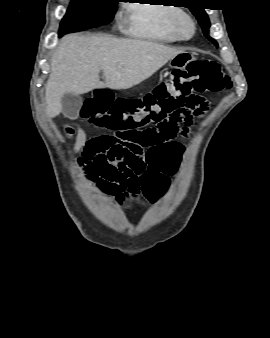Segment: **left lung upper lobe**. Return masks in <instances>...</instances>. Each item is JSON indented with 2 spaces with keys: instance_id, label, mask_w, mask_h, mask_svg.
<instances>
[{
  "instance_id": "1",
  "label": "left lung upper lobe",
  "mask_w": 270,
  "mask_h": 338,
  "mask_svg": "<svg viewBox=\"0 0 270 338\" xmlns=\"http://www.w3.org/2000/svg\"><path fill=\"white\" fill-rule=\"evenodd\" d=\"M194 2L193 6H190V10L192 11V13L196 16L199 24L202 26L203 32L205 34V36L214 44L218 47L217 42L212 39L211 37H209L208 33H209V27H210V22H209V18L206 14V12L204 11V8L202 7L204 5L203 2L205 1H201V0H194L192 1Z\"/></svg>"
}]
</instances>
